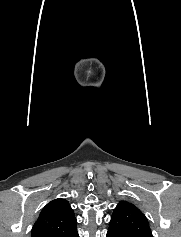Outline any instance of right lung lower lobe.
<instances>
[{"instance_id": "98d812e1", "label": "right lung lower lobe", "mask_w": 181, "mask_h": 237, "mask_svg": "<svg viewBox=\"0 0 181 237\" xmlns=\"http://www.w3.org/2000/svg\"><path fill=\"white\" fill-rule=\"evenodd\" d=\"M74 237H79V236H78V232L74 235Z\"/></svg>"}]
</instances>
